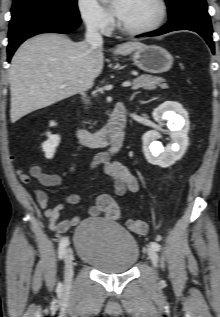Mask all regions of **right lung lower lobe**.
I'll use <instances>...</instances> for the list:
<instances>
[{
    "instance_id": "1",
    "label": "right lung lower lobe",
    "mask_w": 220,
    "mask_h": 317,
    "mask_svg": "<svg viewBox=\"0 0 220 317\" xmlns=\"http://www.w3.org/2000/svg\"><path fill=\"white\" fill-rule=\"evenodd\" d=\"M80 24V18L49 12L31 13L11 20L8 33V62L17 47L29 37L46 32L68 33Z\"/></svg>"
}]
</instances>
